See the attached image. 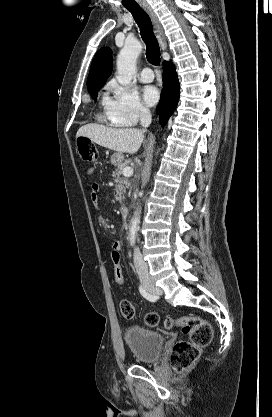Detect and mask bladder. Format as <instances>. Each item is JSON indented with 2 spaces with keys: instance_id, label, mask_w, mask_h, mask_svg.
I'll list each match as a JSON object with an SVG mask.
<instances>
[{
  "instance_id": "bladder-1",
  "label": "bladder",
  "mask_w": 272,
  "mask_h": 417,
  "mask_svg": "<svg viewBox=\"0 0 272 417\" xmlns=\"http://www.w3.org/2000/svg\"><path fill=\"white\" fill-rule=\"evenodd\" d=\"M125 342L136 360L153 363L162 355L165 338L158 332L141 327H129L125 331Z\"/></svg>"
}]
</instances>
